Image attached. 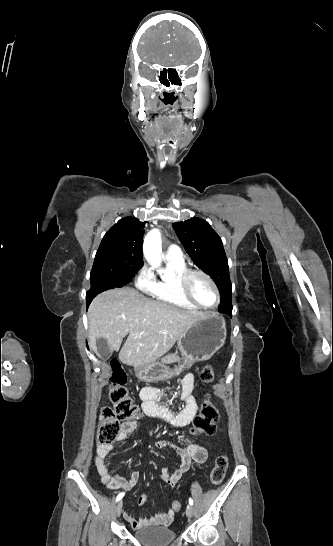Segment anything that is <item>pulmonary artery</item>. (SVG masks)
Segmentation results:
<instances>
[{
    "label": "pulmonary artery",
    "mask_w": 333,
    "mask_h": 546,
    "mask_svg": "<svg viewBox=\"0 0 333 546\" xmlns=\"http://www.w3.org/2000/svg\"><path fill=\"white\" fill-rule=\"evenodd\" d=\"M166 259L181 261L184 260L183 253L177 245H170L166 250Z\"/></svg>",
    "instance_id": "1"
}]
</instances>
